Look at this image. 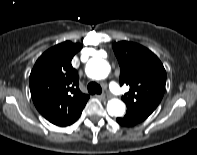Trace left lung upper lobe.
Segmentation results:
<instances>
[{
	"label": "left lung upper lobe",
	"mask_w": 197,
	"mask_h": 155,
	"mask_svg": "<svg viewBox=\"0 0 197 155\" xmlns=\"http://www.w3.org/2000/svg\"><path fill=\"white\" fill-rule=\"evenodd\" d=\"M112 47L120 65V85L130 87L122 96L126 114L144 121L162 100L166 71L158 57L139 44L121 41Z\"/></svg>",
	"instance_id": "left-lung-upper-lobe-1"
}]
</instances>
